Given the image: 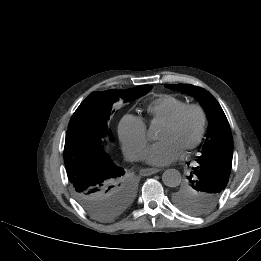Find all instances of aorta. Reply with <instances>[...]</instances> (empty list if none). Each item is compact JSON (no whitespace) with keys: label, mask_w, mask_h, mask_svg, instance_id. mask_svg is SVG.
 Instances as JSON below:
<instances>
[{"label":"aorta","mask_w":261,"mask_h":261,"mask_svg":"<svg viewBox=\"0 0 261 261\" xmlns=\"http://www.w3.org/2000/svg\"><path fill=\"white\" fill-rule=\"evenodd\" d=\"M162 181L168 187H177L181 183V174L176 169H167L162 175Z\"/></svg>","instance_id":"aorta-1"}]
</instances>
